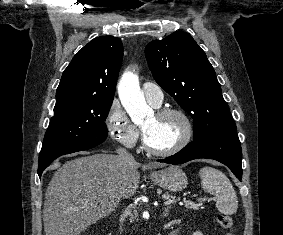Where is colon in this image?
I'll return each instance as SVG.
<instances>
[{"mask_svg": "<svg viewBox=\"0 0 283 235\" xmlns=\"http://www.w3.org/2000/svg\"><path fill=\"white\" fill-rule=\"evenodd\" d=\"M217 221L222 228L228 231L227 235H234V222L231 216L220 213L217 215Z\"/></svg>", "mask_w": 283, "mask_h": 235, "instance_id": "5ec220e1", "label": "colon"}]
</instances>
